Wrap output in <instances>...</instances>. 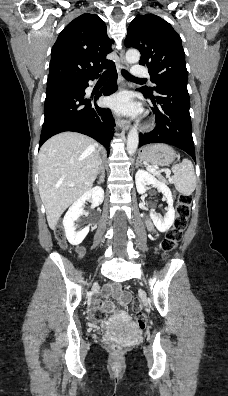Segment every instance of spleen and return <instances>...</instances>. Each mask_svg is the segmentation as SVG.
<instances>
[{
	"mask_svg": "<svg viewBox=\"0 0 228 396\" xmlns=\"http://www.w3.org/2000/svg\"><path fill=\"white\" fill-rule=\"evenodd\" d=\"M172 172L176 190L184 196L191 195L196 187V176L192 162L183 159L181 163L172 167Z\"/></svg>",
	"mask_w": 228,
	"mask_h": 396,
	"instance_id": "3e777b00",
	"label": "spleen"
}]
</instances>
